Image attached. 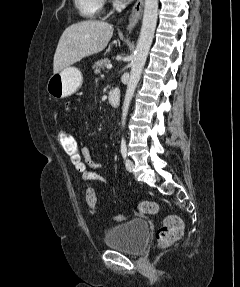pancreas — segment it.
Wrapping results in <instances>:
<instances>
[{"label": "pancreas", "instance_id": "pancreas-1", "mask_svg": "<svg viewBox=\"0 0 240 287\" xmlns=\"http://www.w3.org/2000/svg\"><path fill=\"white\" fill-rule=\"evenodd\" d=\"M108 64H110V60L108 58L100 59L95 62L92 69L96 74H99L102 69H104Z\"/></svg>", "mask_w": 240, "mask_h": 287}]
</instances>
